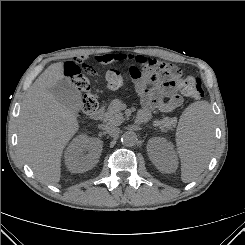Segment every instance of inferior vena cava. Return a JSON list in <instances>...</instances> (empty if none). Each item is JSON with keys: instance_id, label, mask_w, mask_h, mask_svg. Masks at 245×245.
<instances>
[{"instance_id": "inferior-vena-cava-1", "label": "inferior vena cava", "mask_w": 245, "mask_h": 245, "mask_svg": "<svg viewBox=\"0 0 245 245\" xmlns=\"http://www.w3.org/2000/svg\"><path fill=\"white\" fill-rule=\"evenodd\" d=\"M105 130L111 134H118L120 132V129L118 127H115L114 125L105 126Z\"/></svg>"}]
</instances>
